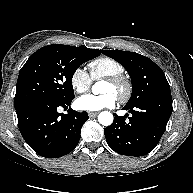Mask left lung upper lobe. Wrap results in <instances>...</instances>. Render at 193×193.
<instances>
[{"mask_svg":"<svg viewBox=\"0 0 193 193\" xmlns=\"http://www.w3.org/2000/svg\"><path fill=\"white\" fill-rule=\"evenodd\" d=\"M127 70L132 81V95L126 106H135L163 88L170 87L163 71L149 58L135 52L101 50Z\"/></svg>","mask_w":193,"mask_h":193,"instance_id":"5c2ea615","label":"left lung upper lobe"}]
</instances>
